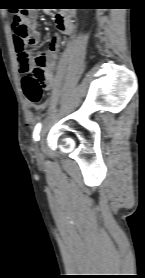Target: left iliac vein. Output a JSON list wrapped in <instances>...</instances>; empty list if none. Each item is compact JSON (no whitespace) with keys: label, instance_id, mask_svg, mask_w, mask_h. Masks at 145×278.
<instances>
[{"label":"left iliac vein","instance_id":"1","mask_svg":"<svg viewBox=\"0 0 145 278\" xmlns=\"http://www.w3.org/2000/svg\"><path fill=\"white\" fill-rule=\"evenodd\" d=\"M35 154H36L37 159H41V152L38 147V144L36 145V148H35Z\"/></svg>","mask_w":145,"mask_h":278}]
</instances>
